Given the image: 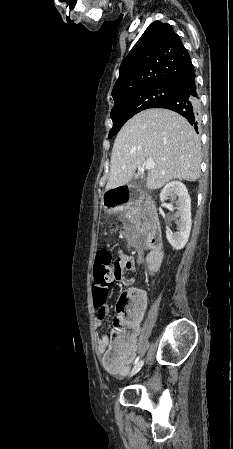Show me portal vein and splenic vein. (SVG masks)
<instances>
[{
  "mask_svg": "<svg viewBox=\"0 0 233 449\" xmlns=\"http://www.w3.org/2000/svg\"><path fill=\"white\" fill-rule=\"evenodd\" d=\"M152 168H154V162L152 160H147L142 167V169L145 170H150Z\"/></svg>",
  "mask_w": 233,
  "mask_h": 449,
  "instance_id": "1",
  "label": "portal vein and splenic vein"
}]
</instances>
